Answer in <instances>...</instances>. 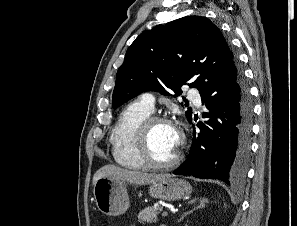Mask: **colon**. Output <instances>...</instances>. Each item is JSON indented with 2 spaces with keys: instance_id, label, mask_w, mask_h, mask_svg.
<instances>
[{
  "instance_id": "obj_1",
  "label": "colon",
  "mask_w": 297,
  "mask_h": 226,
  "mask_svg": "<svg viewBox=\"0 0 297 226\" xmlns=\"http://www.w3.org/2000/svg\"><path fill=\"white\" fill-rule=\"evenodd\" d=\"M103 226H110L108 223H105Z\"/></svg>"
}]
</instances>
